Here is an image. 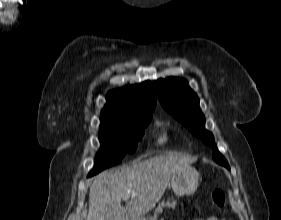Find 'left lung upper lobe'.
<instances>
[{
  "label": "left lung upper lobe",
  "mask_w": 281,
  "mask_h": 220,
  "mask_svg": "<svg viewBox=\"0 0 281 220\" xmlns=\"http://www.w3.org/2000/svg\"><path fill=\"white\" fill-rule=\"evenodd\" d=\"M153 84L163 108L213 149L212 157L217 163L230 169L228 162L218 151L212 133L205 130V117L199 108V98L187 81L169 77L158 79Z\"/></svg>",
  "instance_id": "obj_1"
}]
</instances>
